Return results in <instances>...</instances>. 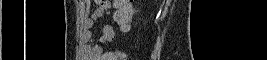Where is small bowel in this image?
I'll return each mask as SVG.
<instances>
[{"instance_id": "small-bowel-1", "label": "small bowel", "mask_w": 267, "mask_h": 60, "mask_svg": "<svg viewBox=\"0 0 267 60\" xmlns=\"http://www.w3.org/2000/svg\"><path fill=\"white\" fill-rule=\"evenodd\" d=\"M111 9H113V4L111 2L105 1L99 4V6L94 10L92 17L88 18L84 23L81 39L85 43V48L95 56L102 53L101 44L111 42L113 40L114 30L112 25L106 24L103 27V35L100 38L99 43L94 44L92 42L91 28L94 26V23L98 18L102 17Z\"/></svg>"}]
</instances>
